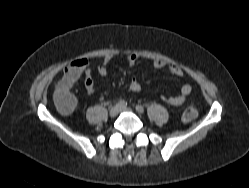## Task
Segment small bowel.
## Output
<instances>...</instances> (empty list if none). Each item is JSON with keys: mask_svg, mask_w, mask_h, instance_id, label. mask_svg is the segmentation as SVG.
Returning <instances> with one entry per match:
<instances>
[{"mask_svg": "<svg viewBox=\"0 0 249 188\" xmlns=\"http://www.w3.org/2000/svg\"><path fill=\"white\" fill-rule=\"evenodd\" d=\"M113 56H106L103 63L98 65L97 72L101 77L106 76L107 66L112 62ZM139 60V56L135 53H128L125 55V62L128 66H134ZM152 66L156 69H162L167 67L168 71L174 75L181 77L183 76V70L174 64H167L161 59H153ZM85 74V89L88 95L94 93L96 89V84L91 77V71L89 69V62L85 58H80L75 60L65 71L63 77L58 81L56 88H64L68 91L74 86V84L79 80V78ZM130 90L133 92H139L141 86L135 78H132L130 83ZM191 92V86L189 84H184L181 87V92L179 95L162 96V100L171 106H181L187 96Z\"/></svg>", "mask_w": 249, "mask_h": 188, "instance_id": "1", "label": "small bowel"}]
</instances>
